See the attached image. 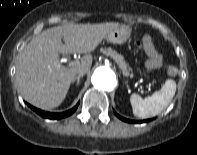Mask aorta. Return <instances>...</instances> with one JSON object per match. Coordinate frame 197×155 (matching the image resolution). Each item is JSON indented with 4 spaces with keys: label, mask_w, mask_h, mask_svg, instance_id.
<instances>
[{
    "label": "aorta",
    "mask_w": 197,
    "mask_h": 155,
    "mask_svg": "<svg viewBox=\"0 0 197 155\" xmlns=\"http://www.w3.org/2000/svg\"><path fill=\"white\" fill-rule=\"evenodd\" d=\"M92 84L102 90H112L116 85V76L107 66L98 67L92 75Z\"/></svg>",
    "instance_id": "1"
}]
</instances>
